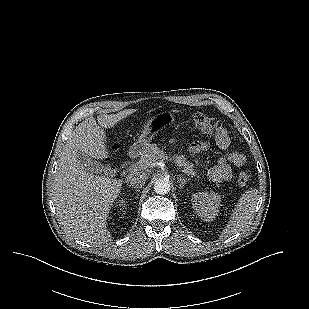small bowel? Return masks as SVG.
I'll return each instance as SVG.
<instances>
[{"mask_svg": "<svg viewBox=\"0 0 309 309\" xmlns=\"http://www.w3.org/2000/svg\"><path fill=\"white\" fill-rule=\"evenodd\" d=\"M217 146L223 151H229L231 141L225 129H221L215 137ZM205 142H195L191 145L192 152L207 150ZM246 163V156L242 152L231 151L228 155L220 156L215 166L209 169L208 177L214 183L230 181L233 176L231 165L241 167Z\"/></svg>", "mask_w": 309, "mask_h": 309, "instance_id": "obj_1", "label": "small bowel"}]
</instances>
